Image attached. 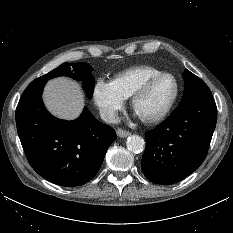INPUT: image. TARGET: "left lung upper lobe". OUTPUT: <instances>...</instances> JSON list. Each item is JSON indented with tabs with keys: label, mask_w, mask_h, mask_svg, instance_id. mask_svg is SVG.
Segmentation results:
<instances>
[{
	"label": "left lung upper lobe",
	"mask_w": 233,
	"mask_h": 233,
	"mask_svg": "<svg viewBox=\"0 0 233 233\" xmlns=\"http://www.w3.org/2000/svg\"><path fill=\"white\" fill-rule=\"evenodd\" d=\"M184 77V94L177 108L199 98L212 96L207 85L196 75L185 69Z\"/></svg>",
	"instance_id": "obj_1"
}]
</instances>
